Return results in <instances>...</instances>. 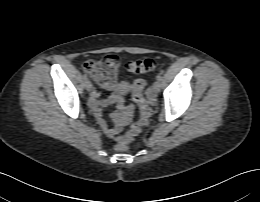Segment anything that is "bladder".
Instances as JSON below:
<instances>
[{
	"instance_id": "obj_1",
	"label": "bladder",
	"mask_w": 260,
	"mask_h": 202,
	"mask_svg": "<svg viewBox=\"0 0 260 202\" xmlns=\"http://www.w3.org/2000/svg\"><path fill=\"white\" fill-rule=\"evenodd\" d=\"M129 87H130V84L127 81H121L119 83V88H120L122 93L127 92Z\"/></svg>"
}]
</instances>
